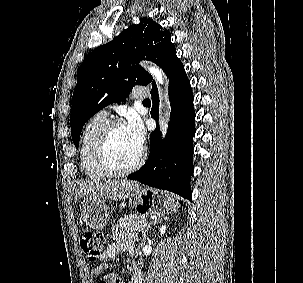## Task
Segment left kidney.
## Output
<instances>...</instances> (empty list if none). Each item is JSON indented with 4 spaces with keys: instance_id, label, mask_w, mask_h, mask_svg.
Instances as JSON below:
<instances>
[{
    "instance_id": "1",
    "label": "left kidney",
    "mask_w": 303,
    "mask_h": 283,
    "mask_svg": "<svg viewBox=\"0 0 303 283\" xmlns=\"http://www.w3.org/2000/svg\"><path fill=\"white\" fill-rule=\"evenodd\" d=\"M166 229H167L166 225L161 226V228H160L161 235L165 233Z\"/></svg>"
}]
</instances>
